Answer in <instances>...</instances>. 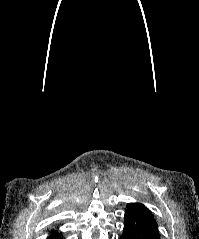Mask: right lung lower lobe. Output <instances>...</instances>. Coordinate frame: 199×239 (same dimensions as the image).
<instances>
[{
    "instance_id": "98d812e1",
    "label": "right lung lower lobe",
    "mask_w": 199,
    "mask_h": 239,
    "mask_svg": "<svg viewBox=\"0 0 199 239\" xmlns=\"http://www.w3.org/2000/svg\"><path fill=\"white\" fill-rule=\"evenodd\" d=\"M47 239H62V238H61L60 234L56 231V232H52L50 237H48Z\"/></svg>"
}]
</instances>
